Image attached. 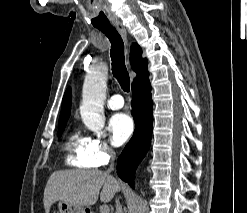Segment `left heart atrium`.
<instances>
[{
  "label": "left heart atrium",
  "mask_w": 247,
  "mask_h": 213,
  "mask_svg": "<svg viewBox=\"0 0 247 213\" xmlns=\"http://www.w3.org/2000/svg\"><path fill=\"white\" fill-rule=\"evenodd\" d=\"M109 130L114 145L120 146L132 135L134 130L133 120L125 113H117L109 121Z\"/></svg>",
  "instance_id": "39dd6f15"
}]
</instances>
